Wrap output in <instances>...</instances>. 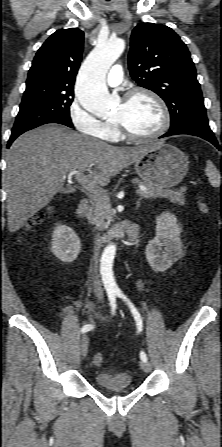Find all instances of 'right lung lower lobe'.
Masks as SVG:
<instances>
[{"label": "right lung lower lobe", "instance_id": "98d812e1", "mask_svg": "<svg viewBox=\"0 0 222 447\" xmlns=\"http://www.w3.org/2000/svg\"><path fill=\"white\" fill-rule=\"evenodd\" d=\"M52 123H58V124L66 125V126H68V127H73L72 122L55 121V122H52ZM20 134H22V133H19V134H12V135H11V137H10V139H9V141H8V144H7V147H8V148L10 147V145L12 144V142H13V141H14Z\"/></svg>", "mask_w": 222, "mask_h": 447}]
</instances>
